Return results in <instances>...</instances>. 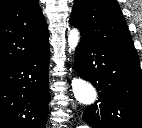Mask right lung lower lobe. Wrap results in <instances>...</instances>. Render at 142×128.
I'll use <instances>...</instances> for the list:
<instances>
[{"label":"right lung lower lobe","mask_w":142,"mask_h":128,"mask_svg":"<svg viewBox=\"0 0 142 128\" xmlns=\"http://www.w3.org/2000/svg\"><path fill=\"white\" fill-rule=\"evenodd\" d=\"M49 44L0 72V128H45Z\"/></svg>","instance_id":"1"}]
</instances>
